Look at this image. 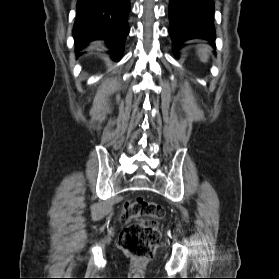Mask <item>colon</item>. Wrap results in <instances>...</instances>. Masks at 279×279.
Here are the masks:
<instances>
[{"label":"colon","instance_id":"colon-1","mask_svg":"<svg viewBox=\"0 0 279 279\" xmlns=\"http://www.w3.org/2000/svg\"><path fill=\"white\" fill-rule=\"evenodd\" d=\"M164 215V208L156 202L141 198L125 202L122 219L126 227L119 238L120 248L136 259H150L161 238L159 221Z\"/></svg>","mask_w":279,"mask_h":279}]
</instances>
